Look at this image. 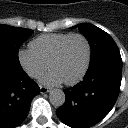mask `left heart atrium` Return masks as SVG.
Listing matches in <instances>:
<instances>
[{
	"label": "left heart atrium",
	"mask_w": 128,
	"mask_h": 128,
	"mask_svg": "<svg viewBox=\"0 0 128 128\" xmlns=\"http://www.w3.org/2000/svg\"><path fill=\"white\" fill-rule=\"evenodd\" d=\"M40 81L41 83L48 85V86L59 85L63 82L62 79L59 77V75L53 70H50L49 72L44 74L40 78Z\"/></svg>",
	"instance_id": "obj_1"
}]
</instances>
